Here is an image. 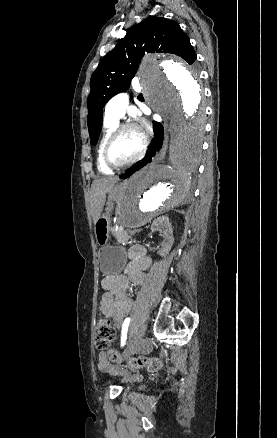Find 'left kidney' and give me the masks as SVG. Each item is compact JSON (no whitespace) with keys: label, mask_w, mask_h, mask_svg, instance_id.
Instances as JSON below:
<instances>
[{"label":"left kidney","mask_w":277,"mask_h":438,"mask_svg":"<svg viewBox=\"0 0 277 438\" xmlns=\"http://www.w3.org/2000/svg\"><path fill=\"white\" fill-rule=\"evenodd\" d=\"M151 230L152 232H164L165 240H167L168 244L165 252H162L160 256H166V254L170 252L174 242L173 230L171 222H169V218H167V216H160V218H156L151 226Z\"/></svg>","instance_id":"obj_1"}]
</instances>
